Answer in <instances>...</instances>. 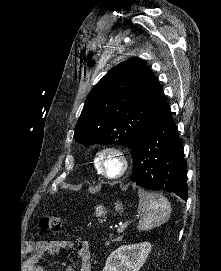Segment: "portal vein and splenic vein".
I'll return each mask as SVG.
<instances>
[{"label":"portal vein and splenic vein","instance_id":"obj_1","mask_svg":"<svg viewBox=\"0 0 221 271\" xmlns=\"http://www.w3.org/2000/svg\"><path fill=\"white\" fill-rule=\"evenodd\" d=\"M133 218H138L139 214L138 213H133L132 214ZM128 223H130V221H125V223H122V225H120V227H117V231L118 233H121V231H124L126 225H128Z\"/></svg>","mask_w":221,"mask_h":271}]
</instances>
